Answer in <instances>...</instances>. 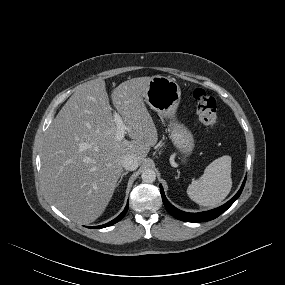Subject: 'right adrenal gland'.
<instances>
[{"mask_svg": "<svg viewBox=\"0 0 285 285\" xmlns=\"http://www.w3.org/2000/svg\"><path fill=\"white\" fill-rule=\"evenodd\" d=\"M128 174V172L126 171V172H124L123 174H122V176H121V178H120V180H119V182H118V185L121 183V181H122V179H123V177L125 176V175H127Z\"/></svg>", "mask_w": 285, "mask_h": 285, "instance_id": "obj_1", "label": "right adrenal gland"}]
</instances>
